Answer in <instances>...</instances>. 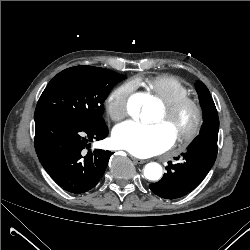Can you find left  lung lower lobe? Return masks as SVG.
I'll list each match as a JSON object with an SVG mask.
<instances>
[{"label":"left lung lower lobe","mask_w":250,"mask_h":250,"mask_svg":"<svg viewBox=\"0 0 250 250\" xmlns=\"http://www.w3.org/2000/svg\"><path fill=\"white\" fill-rule=\"evenodd\" d=\"M218 130L200 134L182 154L180 163H168L167 173L149 188L156 195L175 199L194 189L207 175L217 157ZM178 159V158H177Z\"/></svg>","instance_id":"left-lung-lower-lobe-1"}]
</instances>
